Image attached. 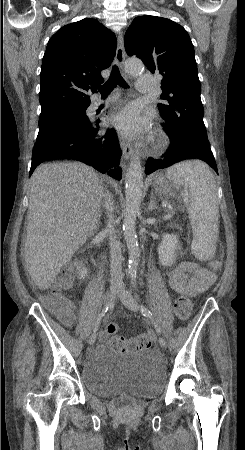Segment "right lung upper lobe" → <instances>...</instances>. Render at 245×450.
Masks as SVG:
<instances>
[{"instance_id": "cb5924a9", "label": "right lung upper lobe", "mask_w": 245, "mask_h": 450, "mask_svg": "<svg viewBox=\"0 0 245 450\" xmlns=\"http://www.w3.org/2000/svg\"><path fill=\"white\" fill-rule=\"evenodd\" d=\"M116 37L95 19L63 26L49 40L40 73L41 111L90 103L88 91L104 79L113 61Z\"/></svg>"}]
</instances>
